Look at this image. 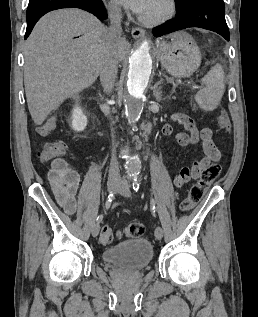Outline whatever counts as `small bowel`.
I'll use <instances>...</instances> for the list:
<instances>
[{
    "label": "small bowel",
    "mask_w": 258,
    "mask_h": 317,
    "mask_svg": "<svg viewBox=\"0 0 258 317\" xmlns=\"http://www.w3.org/2000/svg\"><path fill=\"white\" fill-rule=\"evenodd\" d=\"M171 121L181 124L187 132H179L175 135L176 142L183 147L201 143L203 156L196 159L190 167H183L174 179V184L181 187L190 180L200 177L203 169L218 162L221 153L213 140V131L210 128L198 129L195 121L186 114L176 113L171 116ZM55 119L49 118L38 127L41 136H47L55 129ZM173 132L170 122L162 128V134L169 136ZM49 183L51 190L64 211L75 214L77 210L78 192L80 189V175L77 170L65 159L56 158L52 161L49 171Z\"/></svg>",
    "instance_id": "c3829d8e"
}]
</instances>
